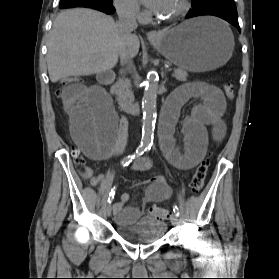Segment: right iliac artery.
I'll list each match as a JSON object with an SVG mask.
<instances>
[{
	"instance_id": "obj_1",
	"label": "right iliac artery",
	"mask_w": 279,
	"mask_h": 279,
	"mask_svg": "<svg viewBox=\"0 0 279 279\" xmlns=\"http://www.w3.org/2000/svg\"><path fill=\"white\" fill-rule=\"evenodd\" d=\"M146 149L147 148L145 146H139L136 149L134 154L128 155L123 159V161H122L123 166H128L134 158L141 156L146 151ZM115 189L116 188L114 187L113 189H111V191L109 193V197H108V202L109 203H111L114 199Z\"/></svg>"
}]
</instances>
